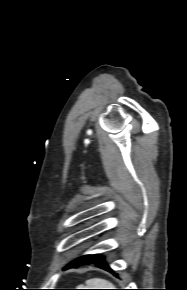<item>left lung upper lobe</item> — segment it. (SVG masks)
<instances>
[{"instance_id":"5c2ea615","label":"left lung upper lobe","mask_w":187,"mask_h":290,"mask_svg":"<svg viewBox=\"0 0 187 290\" xmlns=\"http://www.w3.org/2000/svg\"><path fill=\"white\" fill-rule=\"evenodd\" d=\"M96 255H85V256L79 257L72 261L74 262L72 267H78V266L84 265V262L93 259Z\"/></svg>"}]
</instances>
